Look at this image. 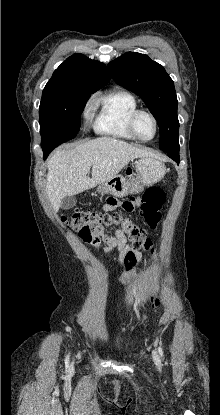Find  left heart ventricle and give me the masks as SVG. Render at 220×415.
I'll use <instances>...</instances> for the list:
<instances>
[{"label":"left heart ventricle","mask_w":220,"mask_h":415,"mask_svg":"<svg viewBox=\"0 0 220 415\" xmlns=\"http://www.w3.org/2000/svg\"><path fill=\"white\" fill-rule=\"evenodd\" d=\"M136 131L143 139H149L154 135L155 126L152 118L147 114H141L136 120Z\"/></svg>","instance_id":"1"}]
</instances>
